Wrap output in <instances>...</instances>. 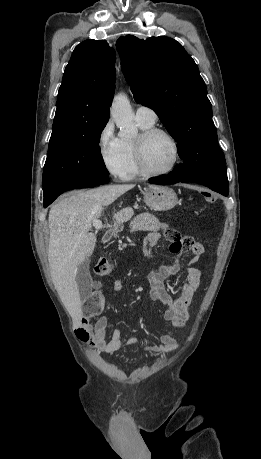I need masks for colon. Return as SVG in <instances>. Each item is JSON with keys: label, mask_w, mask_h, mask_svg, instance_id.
Instances as JSON below:
<instances>
[{"label": "colon", "mask_w": 261, "mask_h": 459, "mask_svg": "<svg viewBox=\"0 0 261 459\" xmlns=\"http://www.w3.org/2000/svg\"><path fill=\"white\" fill-rule=\"evenodd\" d=\"M198 196L205 197L208 202L215 201V189L214 188H199L198 189ZM165 236L170 238L173 236V232L171 230H167L165 232ZM94 272L97 275H109L113 272V264L112 262L106 257H100L95 265H94ZM104 304V296L99 293H93L85 306V314L87 316H95L98 314L103 307Z\"/></svg>", "instance_id": "1"}]
</instances>
